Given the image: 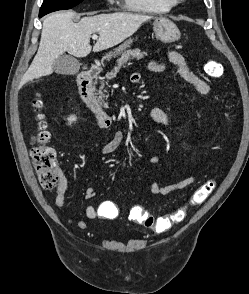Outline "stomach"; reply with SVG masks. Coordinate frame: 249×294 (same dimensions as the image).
<instances>
[{
    "instance_id": "stomach-1",
    "label": "stomach",
    "mask_w": 249,
    "mask_h": 294,
    "mask_svg": "<svg viewBox=\"0 0 249 294\" xmlns=\"http://www.w3.org/2000/svg\"><path fill=\"white\" fill-rule=\"evenodd\" d=\"M153 29L157 39L163 43H172L180 39V31L177 26L169 19L159 17L153 23ZM132 43V39L127 40L124 44L117 47L113 52H109L104 58L110 59L123 52Z\"/></svg>"
}]
</instances>
